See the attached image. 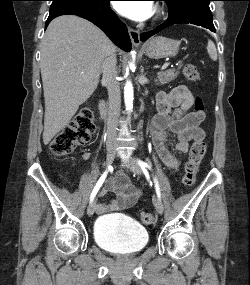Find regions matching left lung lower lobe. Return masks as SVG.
Returning <instances> with one entry per match:
<instances>
[{
	"label": "left lung lower lobe",
	"mask_w": 250,
	"mask_h": 285,
	"mask_svg": "<svg viewBox=\"0 0 250 285\" xmlns=\"http://www.w3.org/2000/svg\"><path fill=\"white\" fill-rule=\"evenodd\" d=\"M194 24L197 26H202L204 28H207L211 30L212 32H216L214 24H213V18L210 15L202 14V13H192L185 15L184 17L177 18V19H170L168 18L167 21H165L163 24L158 26L156 29L144 32L141 34L140 39L141 41L147 40L149 37L153 36L154 34L159 33L163 29L172 26L174 24Z\"/></svg>",
	"instance_id": "0a47b994"
}]
</instances>
